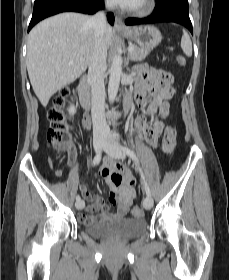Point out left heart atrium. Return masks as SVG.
Returning <instances> with one entry per match:
<instances>
[{
  "label": "left heart atrium",
  "instance_id": "obj_1",
  "mask_svg": "<svg viewBox=\"0 0 229 280\" xmlns=\"http://www.w3.org/2000/svg\"><path fill=\"white\" fill-rule=\"evenodd\" d=\"M112 1L122 7L130 8V7L137 6L142 0H112Z\"/></svg>",
  "mask_w": 229,
  "mask_h": 280
}]
</instances>
